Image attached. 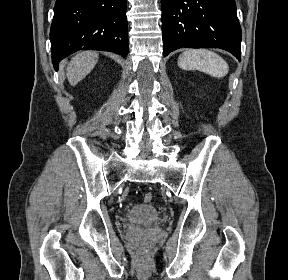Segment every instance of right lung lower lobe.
Wrapping results in <instances>:
<instances>
[{"label":"right lung lower lobe","instance_id":"obj_1","mask_svg":"<svg viewBox=\"0 0 288 280\" xmlns=\"http://www.w3.org/2000/svg\"><path fill=\"white\" fill-rule=\"evenodd\" d=\"M127 0H56L50 29L55 69L79 50L128 54Z\"/></svg>","mask_w":288,"mask_h":280}]
</instances>
